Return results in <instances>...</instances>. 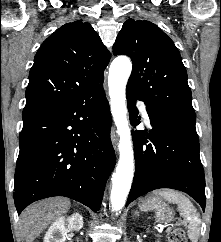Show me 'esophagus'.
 <instances>
[{
	"label": "esophagus",
	"mask_w": 221,
	"mask_h": 242,
	"mask_svg": "<svg viewBox=\"0 0 221 242\" xmlns=\"http://www.w3.org/2000/svg\"><path fill=\"white\" fill-rule=\"evenodd\" d=\"M111 141L113 143L114 148L116 149L117 136H116V131L114 127L111 128Z\"/></svg>",
	"instance_id": "1"
}]
</instances>
